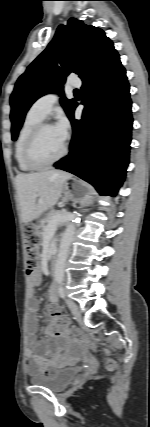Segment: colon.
Wrapping results in <instances>:
<instances>
[{"instance_id":"5ec220e1","label":"colon","mask_w":150,"mask_h":427,"mask_svg":"<svg viewBox=\"0 0 150 427\" xmlns=\"http://www.w3.org/2000/svg\"><path fill=\"white\" fill-rule=\"evenodd\" d=\"M24 239L26 242V258L25 264L26 269L29 274L33 273L39 262L40 257V242L38 234L34 227L25 226L24 228ZM51 325L49 327V332L53 335H66L73 341H80L81 337L77 331L69 328L66 321L60 316L57 310H51ZM115 361L113 359L106 360V367L108 369H113L115 367Z\"/></svg>"}]
</instances>
